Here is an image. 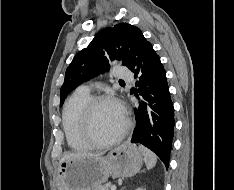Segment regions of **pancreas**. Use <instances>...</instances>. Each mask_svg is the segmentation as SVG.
<instances>
[{"mask_svg":"<svg viewBox=\"0 0 234 190\" xmlns=\"http://www.w3.org/2000/svg\"><path fill=\"white\" fill-rule=\"evenodd\" d=\"M110 185V183H106L104 185L98 186L95 190H109Z\"/></svg>","mask_w":234,"mask_h":190,"instance_id":"cf45deb5","label":"pancreas"}]
</instances>
